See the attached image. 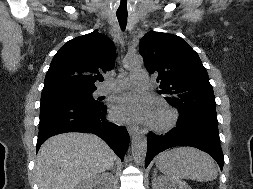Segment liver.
I'll use <instances>...</instances> for the list:
<instances>
[{"label":"liver","mask_w":253,"mask_h":189,"mask_svg":"<svg viewBox=\"0 0 253 189\" xmlns=\"http://www.w3.org/2000/svg\"><path fill=\"white\" fill-rule=\"evenodd\" d=\"M116 160L112 149L87 133H64L46 140L37 155L35 174L39 189H75Z\"/></svg>","instance_id":"1"}]
</instances>
